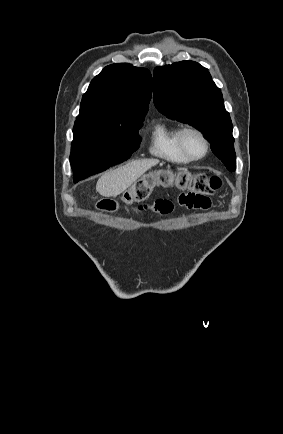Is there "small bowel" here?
<instances>
[{"mask_svg": "<svg viewBox=\"0 0 283 434\" xmlns=\"http://www.w3.org/2000/svg\"><path fill=\"white\" fill-rule=\"evenodd\" d=\"M178 203L181 206H185L189 209H201L206 210L210 207V199L207 196L194 193L192 191L181 193L178 197ZM174 204L168 199L159 198L156 199L150 205L141 206V210H147L157 214H169L172 212Z\"/></svg>", "mask_w": 283, "mask_h": 434, "instance_id": "1", "label": "small bowel"}]
</instances>
